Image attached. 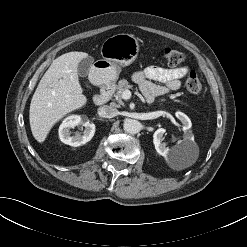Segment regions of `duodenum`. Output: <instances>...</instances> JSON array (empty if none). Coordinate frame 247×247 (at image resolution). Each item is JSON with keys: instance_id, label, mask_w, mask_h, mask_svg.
I'll use <instances>...</instances> for the list:
<instances>
[{"instance_id": "410a0bca", "label": "duodenum", "mask_w": 247, "mask_h": 247, "mask_svg": "<svg viewBox=\"0 0 247 247\" xmlns=\"http://www.w3.org/2000/svg\"><path fill=\"white\" fill-rule=\"evenodd\" d=\"M112 91H113V88L111 85H104L99 93H97L94 98H93V101L96 105H104L106 104L111 95H112Z\"/></svg>"}]
</instances>
